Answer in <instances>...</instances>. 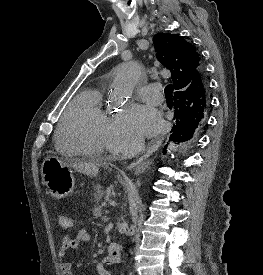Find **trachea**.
Wrapping results in <instances>:
<instances>
[{
	"label": "trachea",
	"instance_id": "1",
	"mask_svg": "<svg viewBox=\"0 0 263 275\" xmlns=\"http://www.w3.org/2000/svg\"><path fill=\"white\" fill-rule=\"evenodd\" d=\"M164 92H165L166 98H172V92H173L172 85L171 84L167 85L164 89Z\"/></svg>",
	"mask_w": 263,
	"mask_h": 275
}]
</instances>
